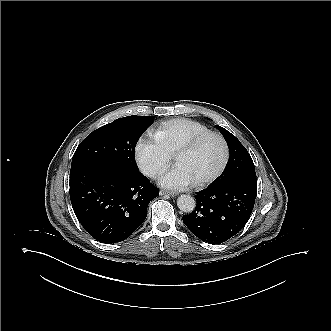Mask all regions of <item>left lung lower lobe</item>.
<instances>
[{"label": "left lung lower lobe", "mask_w": 331, "mask_h": 331, "mask_svg": "<svg viewBox=\"0 0 331 331\" xmlns=\"http://www.w3.org/2000/svg\"><path fill=\"white\" fill-rule=\"evenodd\" d=\"M257 183L236 179L197 193L195 210L183 222L200 240L220 244L237 235L254 207Z\"/></svg>", "instance_id": "obj_1"}]
</instances>
